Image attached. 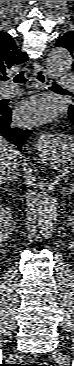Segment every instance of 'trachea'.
Masks as SVG:
<instances>
[{
	"label": "trachea",
	"instance_id": "1",
	"mask_svg": "<svg viewBox=\"0 0 74 366\" xmlns=\"http://www.w3.org/2000/svg\"><path fill=\"white\" fill-rule=\"evenodd\" d=\"M7 79H8V78H4V80H7ZM27 80H28V79L25 77V75H24V72H23V71H22V72H20L18 75H16V76L14 77V79H13V81H14L15 83H17V84H23V83H25ZM51 87L61 89V87H60V86H58V85H57V84H55V83H52Z\"/></svg>",
	"mask_w": 74,
	"mask_h": 366
}]
</instances>
